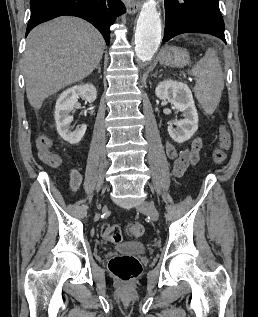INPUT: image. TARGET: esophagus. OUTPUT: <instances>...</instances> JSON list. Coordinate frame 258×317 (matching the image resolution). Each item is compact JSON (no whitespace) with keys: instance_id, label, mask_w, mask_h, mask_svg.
Listing matches in <instances>:
<instances>
[{"instance_id":"1","label":"esophagus","mask_w":258,"mask_h":317,"mask_svg":"<svg viewBox=\"0 0 258 317\" xmlns=\"http://www.w3.org/2000/svg\"><path fill=\"white\" fill-rule=\"evenodd\" d=\"M126 8L130 15H134L141 8V2L140 0H129L126 3Z\"/></svg>"}]
</instances>
